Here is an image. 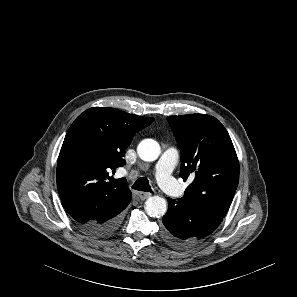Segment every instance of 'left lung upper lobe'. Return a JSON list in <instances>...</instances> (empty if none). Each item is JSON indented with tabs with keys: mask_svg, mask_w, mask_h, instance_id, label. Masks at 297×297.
Returning a JSON list of instances; mask_svg holds the SVG:
<instances>
[{
	"mask_svg": "<svg viewBox=\"0 0 297 297\" xmlns=\"http://www.w3.org/2000/svg\"><path fill=\"white\" fill-rule=\"evenodd\" d=\"M181 149L180 175L193 182L181 203L191 212L188 227L207 236L225 217L239 181V163L231 138L216 118L205 114L168 116Z\"/></svg>",
	"mask_w": 297,
	"mask_h": 297,
	"instance_id": "obj_1",
	"label": "left lung upper lobe"
}]
</instances>
